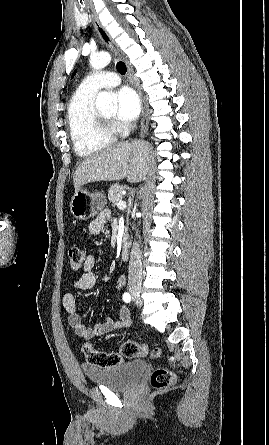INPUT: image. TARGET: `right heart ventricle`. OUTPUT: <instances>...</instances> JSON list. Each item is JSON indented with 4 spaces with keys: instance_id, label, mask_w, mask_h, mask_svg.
<instances>
[{
    "instance_id": "obj_1",
    "label": "right heart ventricle",
    "mask_w": 269,
    "mask_h": 445,
    "mask_svg": "<svg viewBox=\"0 0 269 445\" xmlns=\"http://www.w3.org/2000/svg\"><path fill=\"white\" fill-rule=\"evenodd\" d=\"M96 92L81 86L72 95L67 108V124L75 153L90 157L115 141L113 130L103 129L94 108Z\"/></svg>"
}]
</instances>
